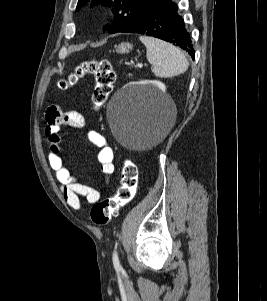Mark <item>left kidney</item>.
Wrapping results in <instances>:
<instances>
[{
    "label": "left kidney",
    "instance_id": "5707ae66",
    "mask_svg": "<svg viewBox=\"0 0 267 301\" xmlns=\"http://www.w3.org/2000/svg\"><path fill=\"white\" fill-rule=\"evenodd\" d=\"M156 84H157V86L159 87V89L165 90V85H164V84H162V83H160V82H157Z\"/></svg>",
    "mask_w": 267,
    "mask_h": 301
}]
</instances>
